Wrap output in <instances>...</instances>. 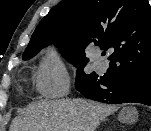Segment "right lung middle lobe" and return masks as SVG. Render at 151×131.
<instances>
[{"label":"right lung middle lobe","instance_id":"1","mask_svg":"<svg viewBox=\"0 0 151 131\" xmlns=\"http://www.w3.org/2000/svg\"><path fill=\"white\" fill-rule=\"evenodd\" d=\"M47 46L46 44H37V45H31L28 46L23 54V59L27 60L33 56H35L38 51ZM61 52L63 53V56L72 64H74L76 67L85 64L88 59L85 58V54L78 53L74 48L67 46V45H58ZM77 76L79 77H92V76H98L95 73L92 74H85L83 71V66L79 67L77 70Z\"/></svg>","mask_w":151,"mask_h":131}]
</instances>
